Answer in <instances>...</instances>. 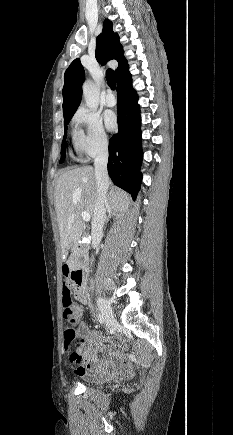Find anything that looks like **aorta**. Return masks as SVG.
Instances as JSON below:
<instances>
[{
    "label": "aorta",
    "mask_w": 233,
    "mask_h": 435,
    "mask_svg": "<svg viewBox=\"0 0 233 435\" xmlns=\"http://www.w3.org/2000/svg\"><path fill=\"white\" fill-rule=\"evenodd\" d=\"M82 90L86 106L91 110L97 109L99 105V89L92 81L87 80L83 84Z\"/></svg>",
    "instance_id": "1"
}]
</instances>
